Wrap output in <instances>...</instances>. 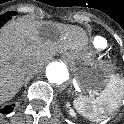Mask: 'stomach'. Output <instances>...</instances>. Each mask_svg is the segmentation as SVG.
<instances>
[{
  "mask_svg": "<svg viewBox=\"0 0 124 124\" xmlns=\"http://www.w3.org/2000/svg\"><path fill=\"white\" fill-rule=\"evenodd\" d=\"M115 76L111 74V69L106 67H94L90 71H80L78 86L83 93H97L106 83L113 82Z\"/></svg>",
  "mask_w": 124,
  "mask_h": 124,
  "instance_id": "0dacf381",
  "label": "stomach"
}]
</instances>
